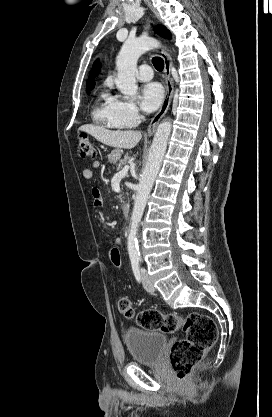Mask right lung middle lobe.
I'll use <instances>...</instances> for the list:
<instances>
[{"label":"right lung middle lobe","mask_w":272,"mask_h":417,"mask_svg":"<svg viewBox=\"0 0 272 417\" xmlns=\"http://www.w3.org/2000/svg\"><path fill=\"white\" fill-rule=\"evenodd\" d=\"M90 90H91L90 88H87V89H86V91H87V93H88V94H89Z\"/></svg>","instance_id":"obj_1"}]
</instances>
